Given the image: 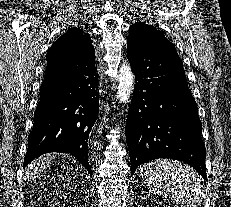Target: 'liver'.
Returning <instances> with one entry per match:
<instances>
[{"label": "liver", "mask_w": 231, "mask_h": 207, "mask_svg": "<svg viewBox=\"0 0 231 207\" xmlns=\"http://www.w3.org/2000/svg\"><path fill=\"white\" fill-rule=\"evenodd\" d=\"M54 158L52 155H47L43 158H39L37 161L32 162L28 168L26 174L27 179H33L36 175L45 170L50 161Z\"/></svg>", "instance_id": "liver-1"}]
</instances>
